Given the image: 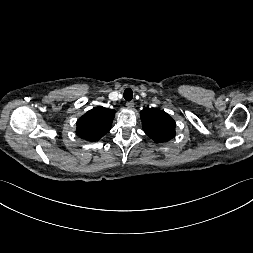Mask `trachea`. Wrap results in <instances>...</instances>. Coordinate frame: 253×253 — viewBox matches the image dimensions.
Instances as JSON below:
<instances>
[{
  "mask_svg": "<svg viewBox=\"0 0 253 253\" xmlns=\"http://www.w3.org/2000/svg\"><path fill=\"white\" fill-rule=\"evenodd\" d=\"M123 97L125 100L130 101L133 98V92L130 88L125 89Z\"/></svg>",
  "mask_w": 253,
  "mask_h": 253,
  "instance_id": "3493384b",
  "label": "trachea"
}]
</instances>
